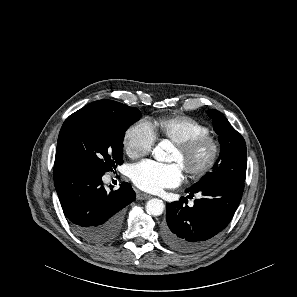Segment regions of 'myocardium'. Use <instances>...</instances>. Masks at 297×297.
<instances>
[{"mask_svg": "<svg viewBox=\"0 0 297 297\" xmlns=\"http://www.w3.org/2000/svg\"><path fill=\"white\" fill-rule=\"evenodd\" d=\"M175 144L176 148L180 151L184 160L189 158L192 154H194L196 151H198L204 146H208L210 148L209 158L201 167H184L187 176L191 180H200L206 177L214 169L220 158V143L218 139L211 134L196 136L184 142H179Z\"/></svg>", "mask_w": 297, "mask_h": 297, "instance_id": "1", "label": "myocardium"}]
</instances>
